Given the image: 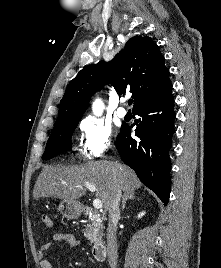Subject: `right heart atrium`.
Listing matches in <instances>:
<instances>
[{"label": "right heart atrium", "mask_w": 221, "mask_h": 268, "mask_svg": "<svg viewBox=\"0 0 221 268\" xmlns=\"http://www.w3.org/2000/svg\"><path fill=\"white\" fill-rule=\"evenodd\" d=\"M79 127L83 137L82 156L88 160L103 156L112 143L111 127L95 117L82 119Z\"/></svg>", "instance_id": "right-heart-atrium-1"}]
</instances>
